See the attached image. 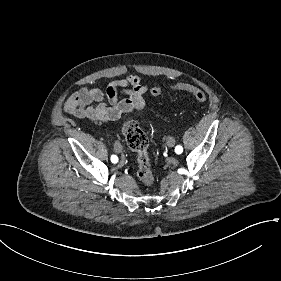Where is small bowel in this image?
<instances>
[{
	"mask_svg": "<svg viewBox=\"0 0 281 281\" xmlns=\"http://www.w3.org/2000/svg\"><path fill=\"white\" fill-rule=\"evenodd\" d=\"M150 86L136 74L112 80L102 86L83 87L67 98L64 109L79 119L112 122L145 106ZM120 92L125 97H120Z\"/></svg>",
	"mask_w": 281,
	"mask_h": 281,
	"instance_id": "small-bowel-1",
	"label": "small bowel"
}]
</instances>
